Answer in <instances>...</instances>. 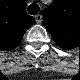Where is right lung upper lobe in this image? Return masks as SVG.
I'll return each instance as SVG.
<instances>
[{
  "mask_svg": "<svg viewBox=\"0 0 80 80\" xmlns=\"http://www.w3.org/2000/svg\"><path fill=\"white\" fill-rule=\"evenodd\" d=\"M35 19L26 13L22 0L9 1L0 11V45L7 50L18 46Z\"/></svg>",
  "mask_w": 80,
  "mask_h": 80,
  "instance_id": "1",
  "label": "right lung upper lobe"
}]
</instances>
